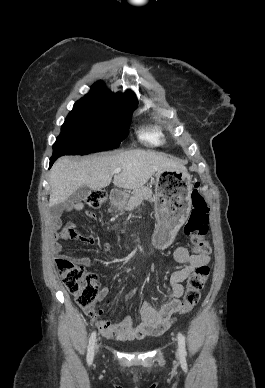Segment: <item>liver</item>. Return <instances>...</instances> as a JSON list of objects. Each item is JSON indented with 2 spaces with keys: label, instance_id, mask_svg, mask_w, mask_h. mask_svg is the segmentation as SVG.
<instances>
[{
  "label": "liver",
  "instance_id": "liver-1",
  "mask_svg": "<svg viewBox=\"0 0 265 388\" xmlns=\"http://www.w3.org/2000/svg\"><path fill=\"white\" fill-rule=\"evenodd\" d=\"M121 168V174L113 178L114 186L136 190L141 188L155 172L162 170H186L179 162H173L150 150H129L115 156H91L81 162H72L64 156L55 162L50 174L49 208L65 202L81 186L92 190L106 188L112 182V172Z\"/></svg>",
  "mask_w": 265,
  "mask_h": 388
}]
</instances>
